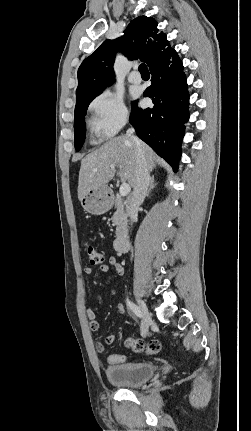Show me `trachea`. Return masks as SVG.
Listing matches in <instances>:
<instances>
[{"mask_svg":"<svg viewBox=\"0 0 251 431\" xmlns=\"http://www.w3.org/2000/svg\"><path fill=\"white\" fill-rule=\"evenodd\" d=\"M138 70L141 74H149V70H148L146 64H144V63L140 64Z\"/></svg>","mask_w":251,"mask_h":431,"instance_id":"obj_1","label":"trachea"}]
</instances>
